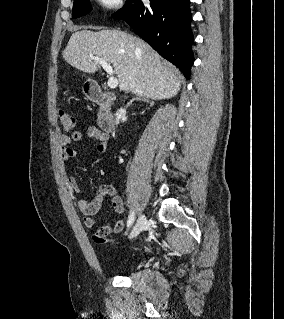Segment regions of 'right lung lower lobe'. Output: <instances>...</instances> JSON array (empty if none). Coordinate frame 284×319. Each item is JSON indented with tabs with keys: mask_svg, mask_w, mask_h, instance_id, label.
<instances>
[{
	"mask_svg": "<svg viewBox=\"0 0 284 319\" xmlns=\"http://www.w3.org/2000/svg\"><path fill=\"white\" fill-rule=\"evenodd\" d=\"M126 21L162 57L177 66L187 79L194 62L189 0H128L112 15Z\"/></svg>",
	"mask_w": 284,
	"mask_h": 319,
	"instance_id": "1",
	"label": "right lung lower lobe"
}]
</instances>
